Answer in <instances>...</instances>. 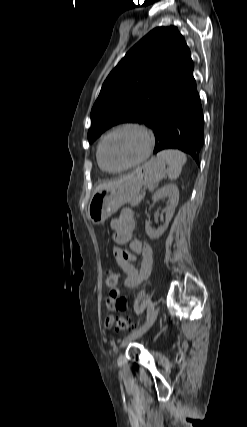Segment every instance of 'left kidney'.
Here are the masks:
<instances>
[{"label": "left kidney", "mask_w": 247, "mask_h": 427, "mask_svg": "<svg viewBox=\"0 0 247 427\" xmlns=\"http://www.w3.org/2000/svg\"><path fill=\"white\" fill-rule=\"evenodd\" d=\"M169 198V203L166 207V221L163 226L158 229H154L150 226L148 221L145 222V231L148 237L152 240L158 239L162 236V234L167 230L170 220L172 219L175 208L179 202V190L176 184L169 183L160 188L155 192L152 197L154 202L159 201L162 198Z\"/></svg>", "instance_id": "obj_1"}]
</instances>
